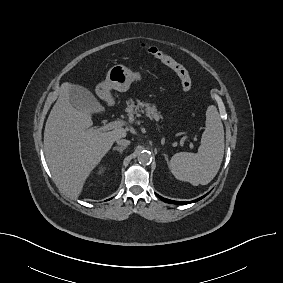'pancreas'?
<instances>
[{"label": "pancreas", "instance_id": "1", "mask_svg": "<svg viewBox=\"0 0 283 283\" xmlns=\"http://www.w3.org/2000/svg\"><path fill=\"white\" fill-rule=\"evenodd\" d=\"M129 120L134 121L135 116H140V113L145 114L146 117L159 121L162 119L161 114L157 111L155 105L151 106L148 102L138 101L137 104L131 99L127 101V107L125 109Z\"/></svg>", "mask_w": 283, "mask_h": 283}]
</instances>
